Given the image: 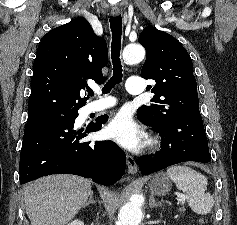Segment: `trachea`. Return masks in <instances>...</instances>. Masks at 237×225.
Returning a JSON list of instances; mask_svg holds the SVG:
<instances>
[{
  "label": "trachea",
  "mask_w": 237,
  "mask_h": 225,
  "mask_svg": "<svg viewBox=\"0 0 237 225\" xmlns=\"http://www.w3.org/2000/svg\"><path fill=\"white\" fill-rule=\"evenodd\" d=\"M110 28L112 31L111 59L113 63V76L102 88V92L107 94L111 89L122 80V64L120 61L122 17L121 15L110 18ZM93 95V91H89Z\"/></svg>",
  "instance_id": "3493384b"
}]
</instances>
